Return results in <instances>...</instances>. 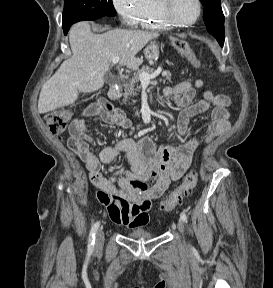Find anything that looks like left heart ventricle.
I'll return each instance as SVG.
<instances>
[{
	"instance_id": "b2bd125f",
	"label": "left heart ventricle",
	"mask_w": 273,
	"mask_h": 288,
	"mask_svg": "<svg viewBox=\"0 0 273 288\" xmlns=\"http://www.w3.org/2000/svg\"><path fill=\"white\" fill-rule=\"evenodd\" d=\"M172 13L179 21H192L197 15V4L195 0H173Z\"/></svg>"
}]
</instances>
